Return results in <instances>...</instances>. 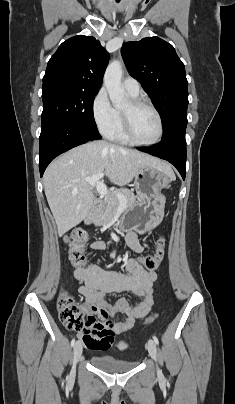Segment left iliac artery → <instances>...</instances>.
I'll list each match as a JSON object with an SVG mask.
<instances>
[{
	"label": "left iliac artery",
	"instance_id": "44dca946",
	"mask_svg": "<svg viewBox=\"0 0 235 404\" xmlns=\"http://www.w3.org/2000/svg\"><path fill=\"white\" fill-rule=\"evenodd\" d=\"M153 339H154L155 344H157V345H158V344H159V340H158V338H157V337L154 335V336H153Z\"/></svg>",
	"mask_w": 235,
	"mask_h": 404
}]
</instances>
